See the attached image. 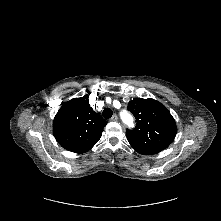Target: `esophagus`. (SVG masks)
I'll return each instance as SVG.
<instances>
[{
    "label": "esophagus",
    "mask_w": 221,
    "mask_h": 221,
    "mask_svg": "<svg viewBox=\"0 0 221 221\" xmlns=\"http://www.w3.org/2000/svg\"><path fill=\"white\" fill-rule=\"evenodd\" d=\"M111 121H117L118 120V117L117 115H113L111 118H110Z\"/></svg>",
    "instance_id": "esophagus-1"
}]
</instances>
